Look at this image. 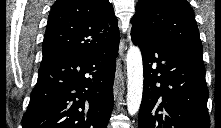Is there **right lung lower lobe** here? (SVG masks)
Here are the masks:
<instances>
[{"label":"right lung lower lobe","mask_w":221,"mask_h":128,"mask_svg":"<svg viewBox=\"0 0 221 128\" xmlns=\"http://www.w3.org/2000/svg\"><path fill=\"white\" fill-rule=\"evenodd\" d=\"M119 41L40 66L22 128H106Z\"/></svg>","instance_id":"right-lung-lower-lobe-1"}]
</instances>
